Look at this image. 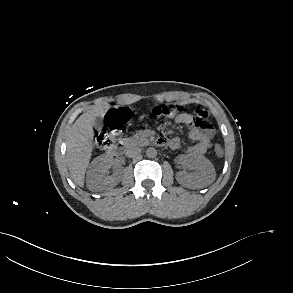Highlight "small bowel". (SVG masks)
<instances>
[{
	"label": "small bowel",
	"instance_id": "c3829d8e",
	"mask_svg": "<svg viewBox=\"0 0 293 293\" xmlns=\"http://www.w3.org/2000/svg\"><path fill=\"white\" fill-rule=\"evenodd\" d=\"M175 123H184L190 126L189 136L196 143L185 149L187 154H204L210 148L211 140L214 137V130L207 123L200 122L195 113H180L176 116ZM160 142L172 150L181 149L180 141L177 138L167 139L161 137Z\"/></svg>",
	"mask_w": 293,
	"mask_h": 293
}]
</instances>
